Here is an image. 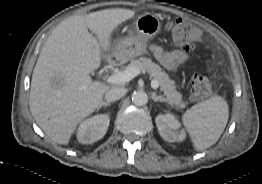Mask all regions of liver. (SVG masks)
I'll list each match as a JSON object with an SVG mask.
<instances>
[{"instance_id": "liver-1", "label": "liver", "mask_w": 262, "mask_h": 184, "mask_svg": "<svg viewBox=\"0 0 262 184\" xmlns=\"http://www.w3.org/2000/svg\"><path fill=\"white\" fill-rule=\"evenodd\" d=\"M134 15L118 8L71 16L45 41L32 74L29 106L55 143L67 145L77 125L100 105L109 86L89 74L100 67L101 52L110 51L113 31Z\"/></svg>"}]
</instances>
